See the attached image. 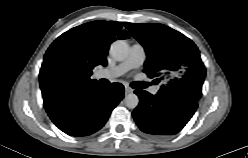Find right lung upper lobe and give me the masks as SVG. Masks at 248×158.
<instances>
[{
	"mask_svg": "<svg viewBox=\"0 0 248 158\" xmlns=\"http://www.w3.org/2000/svg\"><path fill=\"white\" fill-rule=\"evenodd\" d=\"M116 21H92L60 35L44 55L39 74L44 102L98 84L92 80L97 65L106 66L110 44L129 34Z\"/></svg>",
	"mask_w": 248,
	"mask_h": 158,
	"instance_id": "cb5924a9",
	"label": "right lung upper lobe"
}]
</instances>
